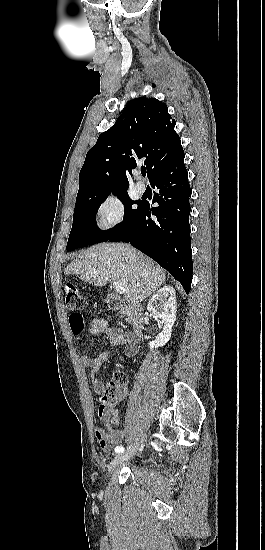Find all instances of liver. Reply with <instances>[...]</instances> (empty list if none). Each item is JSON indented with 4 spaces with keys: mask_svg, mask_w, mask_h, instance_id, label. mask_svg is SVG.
<instances>
[{
    "mask_svg": "<svg viewBox=\"0 0 265 550\" xmlns=\"http://www.w3.org/2000/svg\"><path fill=\"white\" fill-rule=\"evenodd\" d=\"M67 275H79L89 284L121 282L127 301L138 303L154 293L166 279L165 271L140 251L123 243H100L76 256Z\"/></svg>",
    "mask_w": 265,
    "mask_h": 550,
    "instance_id": "obj_1",
    "label": "liver"
}]
</instances>
